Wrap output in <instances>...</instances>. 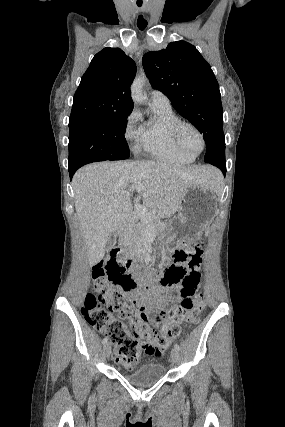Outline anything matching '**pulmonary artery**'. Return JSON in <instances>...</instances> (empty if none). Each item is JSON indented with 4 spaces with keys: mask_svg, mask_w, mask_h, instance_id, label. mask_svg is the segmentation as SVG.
<instances>
[{
    "mask_svg": "<svg viewBox=\"0 0 285 427\" xmlns=\"http://www.w3.org/2000/svg\"><path fill=\"white\" fill-rule=\"evenodd\" d=\"M150 102L158 105H169L168 97L158 90H152L150 93Z\"/></svg>",
    "mask_w": 285,
    "mask_h": 427,
    "instance_id": "1",
    "label": "pulmonary artery"
}]
</instances>
